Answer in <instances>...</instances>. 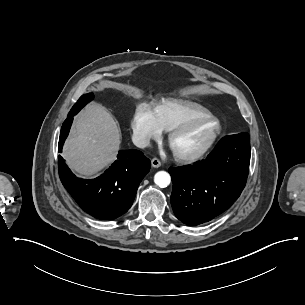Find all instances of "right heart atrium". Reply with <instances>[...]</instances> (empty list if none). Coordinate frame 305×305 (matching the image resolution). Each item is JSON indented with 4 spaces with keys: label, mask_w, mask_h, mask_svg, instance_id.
<instances>
[{
    "label": "right heart atrium",
    "mask_w": 305,
    "mask_h": 305,
    "mask_svg": "<svg viewBox=\"0 0 305 305\" xmlns=\"http://www.w3.org/2000/svg\"><path fill=\"white\" fill-rule=\"evenodd\" d=\"M131 128L136 143L141 147L149 146L151 141L160 138L162 133L154 109L145 104L137 107Z\"/></svg>",
    "instance_id": "right-heart-atrium-1"
}]
</instances>
